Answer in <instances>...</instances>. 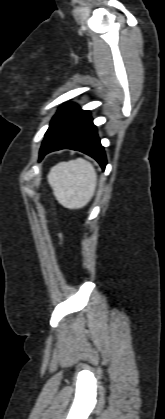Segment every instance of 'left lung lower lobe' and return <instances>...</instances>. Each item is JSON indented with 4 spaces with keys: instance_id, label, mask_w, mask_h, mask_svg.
Here are the masks:
<instances>
[{
    "instance_id": "1",
    "label": "left lung lower lobe",
    "mask_w": 165,
    "mask_h": 419,
    "mask_svg": "<svg viewBox=\"0 0 165 419\" xmlns=\"http://www.w3.org/2000/svg\"><path fill=\"white\" fill-rule=\"evenodd\" d=\"M60 149L81 151L93 157L105 169L106 156L89 111L75 107L65 114L45 135L40 149L41 160Z\"/></svg>"
}]
</instances>
